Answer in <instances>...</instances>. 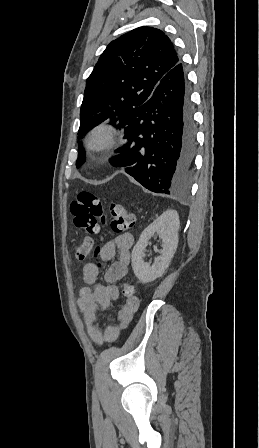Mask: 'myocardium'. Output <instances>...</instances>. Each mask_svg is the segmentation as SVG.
Listing matches in <instances>:
<instances>
[{
  "label": "myocardium",
  "mask_w": 259,
  "mask_h": 448,
  "mask_svg": "<svg viewBox=\"0 0 259 448\" xmlns=\"http://www.w3.org/2000/svg\"><path fill=\"white\" fill-rule=\"evenodd\" d=\"M116 136V127L108 122L93 125L84 139L85 157L89 161L106 163Z\"/></svg>",
  "instance_id": "obj_1"
}]
</instances>
